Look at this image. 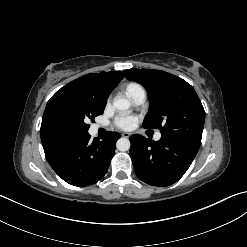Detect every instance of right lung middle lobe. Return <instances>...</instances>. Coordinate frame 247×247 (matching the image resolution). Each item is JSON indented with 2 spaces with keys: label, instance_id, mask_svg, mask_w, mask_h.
Returning a JSON list of instances; mask_svg holds the SVG:
<instances>
[{
  "label": "right lung middle lobe",
  "instance_id": "right-lung-middle-lobe-1",
  "mask_svg": "<svg viewBox=\"0 0 247 247\" xmlns=\"http://www.w3.org/2000/svg\"><path fill=\"white\" fill-rule=\"evenodd\" d=\"M105 105L82 95L69 96L58 102L48 116L50 129L59 137L75 140L88 134L87 122L103 113Z\"/></svg>",
  "mask_w": 247,
  "mask_h": 247
}]
</instances>
